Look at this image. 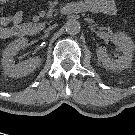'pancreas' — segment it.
<instances>
[{
  "mask_svg": "<svg viewBox=\"0 0 135 135\" xmlns=\"http://www.w3.org/2000/svg\"><path fill=\"white\" fill-rule=\"evenodd\" d=\"M24 26H26V27H31V25L30 24H25ZM36 30H39V28H38V26L37 25H35V27H34Z\"/></svg>",
  "mask_w": 135,
  "mask_h": 135,
  "instance_id": "pancreas-1",
  "label": "pancreas"
}]
</instances>
